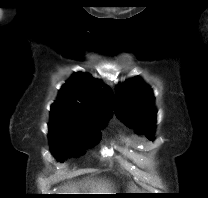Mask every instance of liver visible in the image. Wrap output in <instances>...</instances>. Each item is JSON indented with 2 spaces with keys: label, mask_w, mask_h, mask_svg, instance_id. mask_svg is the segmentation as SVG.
Segmentation results:
<instances>
[{
  "label": "liver",
  "mask_w": 208,
  "mask_h": 198,
  "mask_svg": "<svg viewBox=\"0 0 208 198\" xmlns=\"http://www.w3.org/2000/svg\"><path fill=\"white\" fill-rule=\"evenodd\" d=\"M90 189V192H110L111 187L106 182L88 181L85 183L83 189ZM90 194H105V193H90Z\"/></svg>",
  "instance_id": "1"
}]
</instances>
